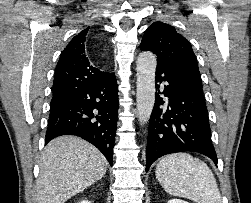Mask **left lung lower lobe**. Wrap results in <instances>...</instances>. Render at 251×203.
I'll return each mask as SVG.
<instances>
[{"label": "left lung lower lobe", "mask_w": 251, "mask_h": 203, "mask_svg": "<svg viewBox=\"0 0 251 203\" xmlns=\"http://www.w3.org/2000/svg\"><path fill=\"white\" fill-rule=\"evenodd\" d=\"M160 84L163 91L159 90ZM155 105L149 121L146 171L163 155L193 151L206 155L217 165L203 91L178 70L157 64ZM169 98L162 108L163 98Z\"/></svg>", "instance_id": "0a47b994"}]
</instances>
